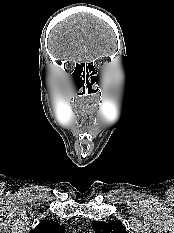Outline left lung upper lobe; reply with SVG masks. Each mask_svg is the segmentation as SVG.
Here are the masks:
<instances>
[{"instance_id": "left-lung-upper-lobe-1", "label": "left lung upper lobe", "mask_w": 174, "mask_h": 233, "mask_svg": "<svg viewBox=\"0 0 174 233\" xmlns=\"http://www.w3.org/2000/svg\"><path fill=\"white\" fill-rule=\"evenodd\" d=\"M95 233H128L119 220L110 221L108 223L102 221H93L91 223Z\"/></svg>"}]
</instances>
